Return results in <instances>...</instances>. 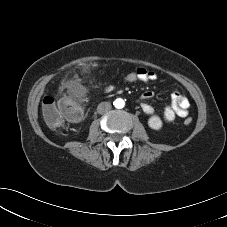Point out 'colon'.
I'll return each mask as SVG.
<instances>
[{
  "instance_id": "obj_1",
  "label": "colon",
  "mask_w": 227,
  "mask_h": 227,
  "mask_svg": "<svg viewBox=\"0 0 227 227\" xmlns=\"http://www.w3.org/2000/svg\"><path fill=\"white\" fill-rule=\"evenodd\" d=\"M121 79L126 83L140 81L137 70L126 71L121 75ZM42 114L46 123L55 130L66 128L70 122H75L81 118V107L70 98L56 100L52 95H46L42 101ZM184 123L190 124L192 118L188 113L183 116Z\"/></svg>"
}]
</instances>
